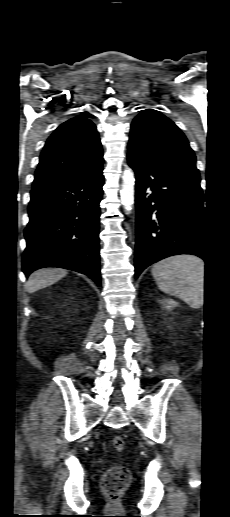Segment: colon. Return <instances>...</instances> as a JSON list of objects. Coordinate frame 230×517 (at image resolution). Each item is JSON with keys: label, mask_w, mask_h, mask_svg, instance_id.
Wrapping results in <instances>:
<instances>
[{"label": "colon", "mask_w": 230, "mask_h": 517, "mask_svg": "<svg viewBox=\"0 0 230 517\" xmlns=\"http://www.w3.org/2000/svg\"><path fill=\"white\" fill-rule=\"evenodd\" d=\"M112 447L121 451L125 448V441L122 437H114L111 441ZM130 482V474L123 466H115L110 468L103 476L102 489L105 495L110 499H117L121 492Z\"/></svg>", "instance_id": "5ec220e1"}]
</instances>
